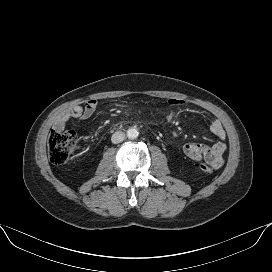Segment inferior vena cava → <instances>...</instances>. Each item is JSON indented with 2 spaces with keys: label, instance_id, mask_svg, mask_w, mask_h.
<instances>
[{
  "label": "inferior vena cava",
  "instance_id": "1",
  "mask_svg": "<svg viewBox=\"0 0 272 272\" xmlns=\"http://www.w3.org/2000/svg\"><path fill=\"white\" fill-rule=\"evenodd\" d=\"M125 139V133L122 131H117L115 132L112 137H111V141L114 144L120 143Z\"/></svg>",
  "mask_w": 272,
  "mask_h": 272
}]
</instances>
